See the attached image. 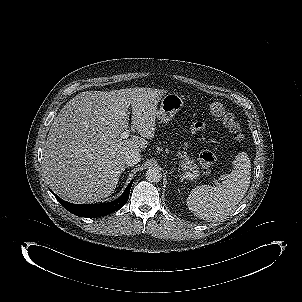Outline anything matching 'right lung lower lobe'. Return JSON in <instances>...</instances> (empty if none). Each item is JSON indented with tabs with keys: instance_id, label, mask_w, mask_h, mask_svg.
Listing matches in <instances>:
<instances>
[{
	"instance_id": "1",
	"label": "right lung lower lobe",
	"mask_w": 302,
	"mask_h": 302,
	"mask_svg": "<svg viewBox=\"0 0 302 302\" xmlns=\"http://www.w3.org/2000/svg\"><path fill=\"white\" fill-rule=\"evenodd\" d=\"M133 180L126 187L123 194L116 200L101 204H72L64 201L56 194L54 196L61 203V205L67 209L69 212L80 217H100L107 215L109 213L119 210L125 205L129 199L130 188L132 186Z\"/></svg>"
}]
</instances>
